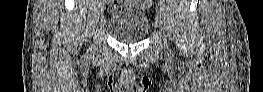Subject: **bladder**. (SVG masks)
<instances>
[{
    "label": "bladder",
    "mask_w": 263,
    "mask_h": 92,
    "mask_svg": "<svg viewBox=\"0 0 263 92\" xmlns=\"http://www.w3.org/2000/svg\"><path fill=\"white\" fill-rule=\"evenodd\" d=\"M132 7L113 13L106 24L111 36L121 42H137L148 33V24L143 9L130 1Z\"/></svg>",
    "instance_id": "1"
}]
</instances>
